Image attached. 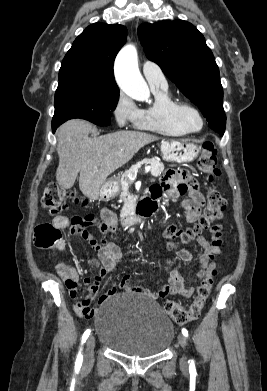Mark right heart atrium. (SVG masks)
Instances as JSON below:
<instances>
[{"label":"right heart atrium","mask_w":267,"mask_h":391,"mask_svg":"<svg viewBox=\"0 0 267 391\" xmlns=\"http://www.w3.org/2000/svg\"><path fill=\"white\" fill-rule=\"evenodd\" d=\"M114 119L119 127L135 124L139 118V108L124 93H120L112 110Z\"/></svg>","instance_id":"right-heart-atrium-1"}]
</instances>
